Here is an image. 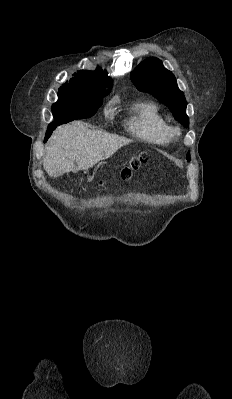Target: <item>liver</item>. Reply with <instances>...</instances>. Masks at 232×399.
<instances>
[{"label":"liver","mask_w":232,"mask_h":399,"mask_svg":"<svg viewBox=\"0 0 232 399\" xmlns=\"http://www.w3.org/2000/svg\"><path fill=\"white\" fill-rule=\"evenodd\" d=\"M130 142L116 134L91 130L84 122H71L53 132L43 160L44 170L51 178L65 172L89 170Z\"/></svg>","instance_id":"liver-1"}]
</instances>
